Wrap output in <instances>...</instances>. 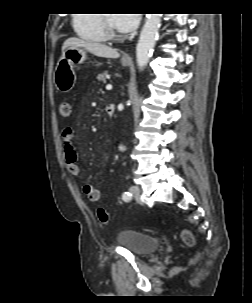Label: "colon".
I'll return each mask as SVG.
<instances>
[{"label":"colon","mask_w":252,"mask_h":303,"mask_svg":"<svg viewBox=\"0 0 252 303\" xmlns=\"http://www.w3.org/2000/svg\"><path fill=\"white\" fill-rule=\"evenodd\" d=\"M71 104L67 101L61 102L59 105V113L63 118H68L71 115ZM97 216L101 223L109 221V215L103 208L97 209ZM181 239L186 246L192 247L195 244V239L192 233L188 230H182L180 233Z\"/></svg>","instance_id":"5ec220e1"}]
</instances>
